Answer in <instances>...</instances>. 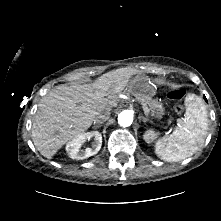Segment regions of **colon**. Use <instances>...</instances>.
Returning a JSON list of instances; mask_svg holds the SVG:
<instances>
[{"label":"colon","instance_id":"1","mask_svg":"<svg viewBox=\"0 0 221 221\" xmlns=\"http://www.w3.org/2000/svg\"><path fill=\"white\" fill-rule=\"evenodd\" d=\"M185 94L186 92L184 89H173L168 93L169 99L175 102V109L179 113L183 110V107L180 104V102L184 98Z\"/></svg>","mask_w":221,"mask_h":221}]
</instances>
